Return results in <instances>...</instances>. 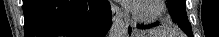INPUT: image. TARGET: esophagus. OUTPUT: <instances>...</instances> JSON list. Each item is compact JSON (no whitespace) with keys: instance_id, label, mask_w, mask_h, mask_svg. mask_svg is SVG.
Here are the masks:
<instances>
[{"instance_id":"34e87169","label":"esophagus","mask_w":219,"mask_h":37,"mask_svg":"<svg viewBox=\"0 0 219 37\" xmlns=\"http://www.w3.org/2000/svg\"><path fill=\"white\" fill-rule=\"evenodd\" d=\"M111 10H112L113 20H115L116 18H120L122 16L121 9L117 5L112 4Z\"/></svg>"}]
</instances>
